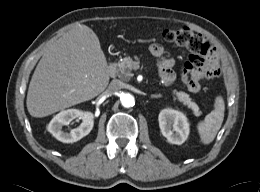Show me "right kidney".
<instances>
[{"instance_id": "1", "label": "right kidney", "mask_w": 260, "mask_h": 192, "mask_svg": "<svg viewBox=\"0 0 260 192\" xmlns=\"http://www.w3.org/2000/svg\"><path fill=\"white\" fill-rule=\"evenodd\" d=\"M75 118L82 119L79 127L72 129L69 133L62 131L64 125ZM94 125V115L88 111L68 109L58 113L49 123L48 131L63 143H73L88 135Z\"/></svg>"}]
</instances>
